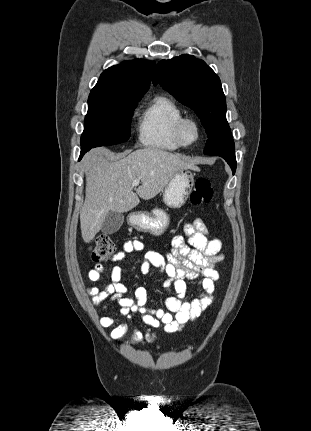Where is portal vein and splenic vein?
<instances>
[{"instance_id": "18ae733b", "label": "portal vein and splenic vein", "mask_w": 311, "mask_h": 431, "mask_svg": "<svg viewBox=\"0 0 311 431\" xmlns=\"http://www.w3.org/2000/svg\"><path fill=\"white\" fill-rule=\"evenodd\" d=\"M140 180H133L131 186H139Z\"/></svg>"}]
</instances>
